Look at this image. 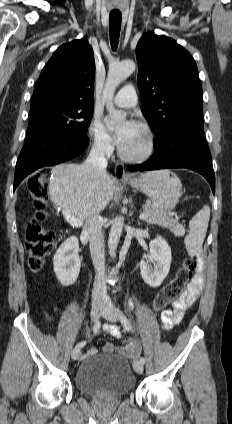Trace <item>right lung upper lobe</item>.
<instances>
[{"label":"right lung upper lobe","instance_id":"1","mask_svg":"<svg viewBox=\"0 0 232 424\" xmlns=\"http://www.w3.org/2000/svg\"><path fill=\"white\" fill-rule=\"evenodd\" d=\"M95 62L86 39L60 46L44 66L31 107L50 103L93 107Z\"/></svg>","mask_w":232,"mask_h":424}]
</instances>
